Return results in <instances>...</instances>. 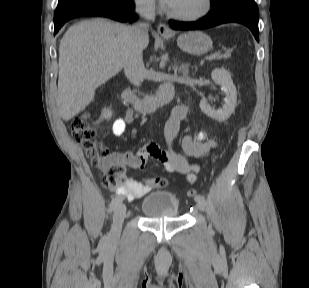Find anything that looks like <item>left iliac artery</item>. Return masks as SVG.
<instances>
[{"label":"left iliac artery","instance_id":"44dca946","mask_svg":"<svg viewBox=\"0 0 309 288\" xmlns=\"http://www.w3.org/2000/svg\"><path fill=\"white\" fill-rule=\"evenodd\" d=\"M200 200H205L204 196L198 195V196L195 198V201H200Z\"/></svg>","mask_w":309,"mask_h":288}]
</instances>
